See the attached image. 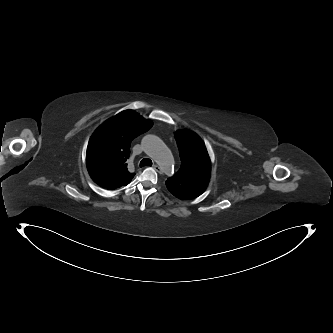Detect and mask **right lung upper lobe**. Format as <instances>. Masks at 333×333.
Instances as JSON below:
<instances>
[{
	"label": "right lung upper lobe",
	"mask_w": 333,
	"mask_h": 333,
	"mask_svg": "<svg viewBox=\"0 0 333 333\" xmlns=\"http://www.w3.org/2000/svg\"><path fill=\"white\" fill-rule=\"evenodd\" d=\"M150 120L125 110L106 120L91 136L86 164L96 184L116 189L131 182L135 173L127 169L131 141L152 127Z\"/></svg>",
	"instance_id": "right-lung-upper-lobe-1"
}]
</instances>
